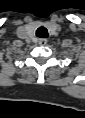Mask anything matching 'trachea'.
I'll use <instances>...</instances> for the list:
<instances>
[{"instance_id": "trachea-1", "label": "trachea", "mask_w": 85, "mask_h": 118, "mask_svg": "<svg viewBox=\"0 0 85 118\" xmlns=\"http://www.w3.org/2000/svg\"><path fill=\"white\" fill-rule=\"evenodd\" d=\"M48 35V30L45 27H39L36 30V36L39 38H47Z\"/></svg>"}]
</instances>
